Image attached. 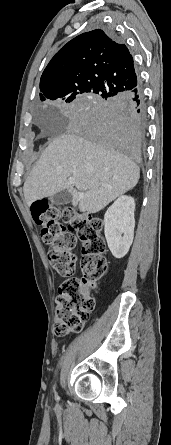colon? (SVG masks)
<instances>
[{"mask_svg": "<svg viewBox=\"0 0 171 445\" xmlns=\"http://www.w3.org/2000/svg\"><path fill=\"white\" fill-rule=\"evenodd\" d=\"M31 213L35 223L41 227L43 243L50 246V264L57 273L67 277L59 287L54 323L55 335L64 337L82 330L94 308L90 292L107 270L103 221L68 206L50 207L42 201L33 203ZM77 243L82 252L81 277L73 276L76 266L73 249Z\"/></svg>", "mask_w": 171, "mask_h": 445, "instance_id": "5ec220e1", "label": "colon"}]
</instances>
